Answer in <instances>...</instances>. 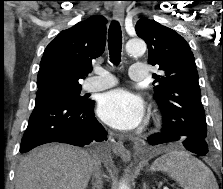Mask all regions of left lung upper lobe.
Returning a JSON list of instances; mask_svg holds the SVG:
<instances>
[{"label": "left lung upper lobe", "instance_id": "5c2ea615", "mask_svg": "<svg viewBox=\"0 0 223 189\" xmlns=\"http://www.w3.org/2000/svg\"><path fill=\"white\" fill-rule=\"evenodd\" d=\"M135 30L147 44L148 63L160 70L153 78L154 99L163 115L162 132L207 140L198 72L190 46L176 31L154 20L139 19Z\"/></svg>", "mask_w": 223, "mask_h": 189}]
</instances>
